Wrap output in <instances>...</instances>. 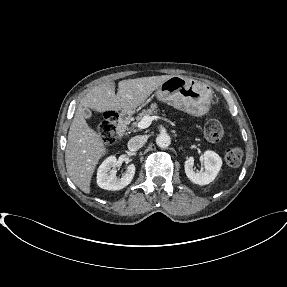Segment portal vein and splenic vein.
Segmentation results:
<instances>
[{"instance_id":"obj_1","label":"portal vein and splenic vein","mask_w":287,"mask_h":287,"mask_svg":"<svg viewBox=\"0 0 287 287\" xmlns=\"http://www.w3.org/2000/svg\"><path fill=\"white\" fill-rule=\"evenodd\" d=\"M158 119H162L165 121H168L166 118L160 117V116H144L138 123V128L139 129H146L150 126L151 122L153 120H158ZM169 122V121H168Z\"/></svg>"}]
</instances>
